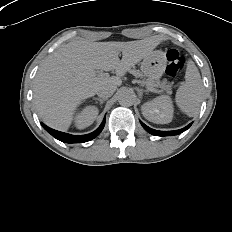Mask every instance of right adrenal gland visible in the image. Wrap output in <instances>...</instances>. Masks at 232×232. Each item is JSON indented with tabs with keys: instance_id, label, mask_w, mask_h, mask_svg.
Masks as SVG:
<instances>
[{
	"instance_id": "2a0ac1e0",
	"label": "right adrenal gland",
	"mask_w": 232,
	"mask_h": 232,
	"mask_svg": "<svg viewBox=\"0 0 232 232\" xmlns=\"http://www.w3.org/2000/svg\"><path fill=\"white\" fill-rule=\"evenodd\" d=\"M93 100H95V102L99 103L100 105H102L103 102L105 101L104 99H100V98H97V97H94Z\"/></svg>"
}]
</instances>
